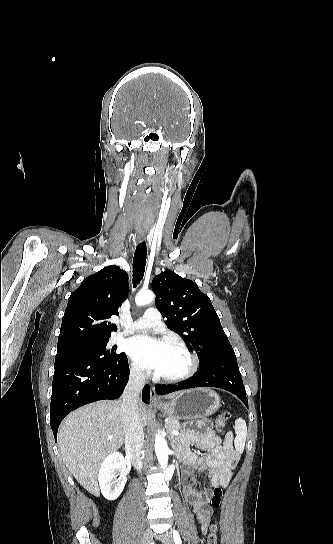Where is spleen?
<instances>
[{
    "label": "spleen",
    "instance_id": "obj_1",
    "mask_svg": "<svg viewBox=\"0 0 333 544\" xmlns=\"http://www.w3.org/2000/svg\"><path fill=\"white\" fill-rule=\"evenodd\" d=\"M234 430L236 433L235 438V447L237 451H243L246 437H247V426L245 420H243L241 417H239L235 421Z\"/></svg>",
    "mask_w": 333,
    "mask_h": 544
}]
</instances>
